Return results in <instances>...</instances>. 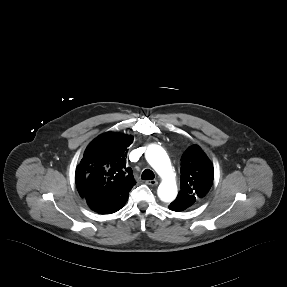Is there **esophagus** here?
I'll list each match as a JSON object with an SVG mask.
<instances>
[{
	"instance_id": "34e87169",
	"label": "esophagus",
	"mask_w": 287,
	"mask_h": 287,
	"mask_svg": "<svg viewBox=\"0 0 287 287\" xmlns=\"http://www.w3.org/2000/svg\"><path fill=\"white\" fill-rule=\"evenodd\" d=\"M147 185L156 186L158 184L157 180H148L145 182Z\"/></svg>"
}]
</instances>
